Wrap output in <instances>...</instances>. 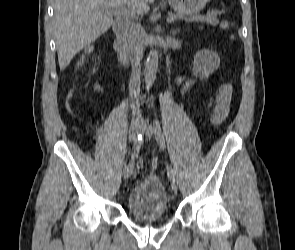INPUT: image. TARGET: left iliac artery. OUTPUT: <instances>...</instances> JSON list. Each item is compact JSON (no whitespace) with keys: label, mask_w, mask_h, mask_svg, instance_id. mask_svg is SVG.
<instances>
[{"label":"left iliac artery","mask_w":295,"mask_h":250,"mask_svg":"<svg viewBox=\"0 0 295 250\" xmlns=\"http://www.w3.org/2000/svg\"><path fill=\"white\" fill-rule=\"evenodd\" d=\"M154 134H155V138H156V141H157L160 149L164 150L166 147L165 139H164V136L162 133L160 123L157 119L154 120ZM166 168H167V174H168L169 180L171 182H175V174H174L172 167L167 165Z\"/></svg>","instance_id":"obj_1"}]
</instances>
